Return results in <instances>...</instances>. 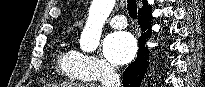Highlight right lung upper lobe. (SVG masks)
Masks as SVG:
<instances>
[{"instance_id": "right-lung-upper-lobe-1", "label": "right lung upper lobe", "mask_w": 205, "mask_h": 87, "mask_svg": "<svg viewBox=\"0 0 205 87\" xmlns=\"http://www.w3.org/2000/svg\"><path fill=\"white\" fill-rule=\"evenodd\" d=\"M146 4H147V1H146V0H143V6L146 5Z\"/></svg>"}]
</instances>
